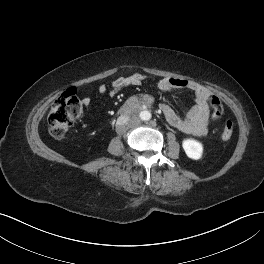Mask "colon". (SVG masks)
<instances>
[{
    "mask_svg": "<svg viewBox=\"0 0 264 264\" xmlns=\"http://www.w3.org/2000/svg\"><path fill=\"white\" fill-rule=\"evenodd\" d=\"M208 102L211 107V119H219L224 111L220 99L215 95H210ZM81 111L82 107L74 89H68L62 93L54 101L48 115V127L51 135L56 139H62L74 120L80 116ZM233 130V122L226 121L222 131V139L224 141L230 140Z\"/></svg>",
    "mask_w": 264,
    "mask_h": 264,
    "instance_id": "1",
    "label": "colon"
}]
</instances>
